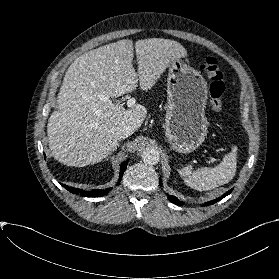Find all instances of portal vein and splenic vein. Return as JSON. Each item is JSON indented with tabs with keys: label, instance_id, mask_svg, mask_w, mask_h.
Segmentation results:
<instances>
[{
	"label": "portal vein and splenic vein",
	"instance_id": "obj_1",
	"mask_svg": "<svg viewBox=\"0 0 279 279\" xmlns=\"http://www.w3.org/2000/svg\"><path fill=\"white\" fill-rule=\"evenodd\" d=\"M104 101L109 102L110 105H112V106L114 105V103H113L111 100H109L108 98H104ZM134 104H135V99H133V98H130V99L127 101V106H128V107H132Z\"/></svg>",
	"mask_w": 279,
	"mask_h": 279
}]
</instances>
